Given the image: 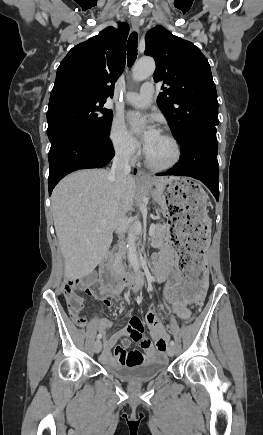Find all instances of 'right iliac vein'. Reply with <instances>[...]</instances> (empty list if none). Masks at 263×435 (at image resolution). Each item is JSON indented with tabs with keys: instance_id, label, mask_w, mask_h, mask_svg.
<instances>
[{
	"instance_id": "1",
	"label": "right iliac vein",
	"mask_w": 263,
	"mask_h": 435,
	"mask_svg": "<svg viewBox=\"0 0 263 435\" xmlns=\"http://www.w3.org/2000/svg\"><path fill=\"white\" fill-rule=\"evenodd\" d=\"M101 348H102L101 341H100V340H97V341L94 343V351H95V353H99V352L101 351Z\"/></svg>"
}]
</instances>
